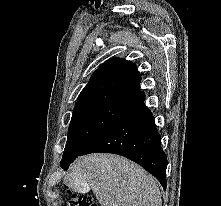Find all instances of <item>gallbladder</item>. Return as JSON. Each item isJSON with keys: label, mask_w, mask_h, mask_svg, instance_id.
Returning <instances> with one entry per match:
<instances>
[{"label": "gallbladder", "mask_w": 221, "mask_h": 206, "mask_svg": "<svg viewBox=\"0 0 221 206\" xmlns=\"http://www.w3.org/2000/svg\"><path fill=\"white\" fill-rule=\"evenodd\" d=\"M86 181H66L65 185L70 186V190H78V194H87L89 185H86Z\"/></svg>", "instance_id": "bac80fb5"}]
</instances>
